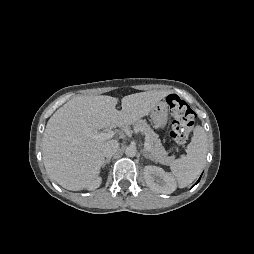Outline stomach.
Wrapping results in <instances>:
<instances>
[{
  "instance_id": "0dacf381",
  "label": "stomach",
  "mask_w": 254,
  "mask_h": 254,
  "mask_svg": "<svg viewBox=\"0 0 254 254\" xmlns=\"http://www.w3.org/2000/svg\"><path fill=\"white\" fill-rule=\"evenodd\" d=\"M150 116L156 128H164L168 120V104L160 101L151 110Z\"/></svg>"
}]
</instances>
